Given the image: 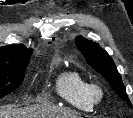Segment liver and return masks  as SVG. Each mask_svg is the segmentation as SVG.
Returning a JSON list of instances; mask_svg holds the SVG:
<instances>
[{"label": "liver", "instance_id": "liver-1", "mask_svg": "<svg viewBox=\"0 0 133 118\" xmlns=\"http://www.w3.org/2000/svg\"><path fill=\"white\" fill-rule=\"evenodd\" d=\"M0 118H81L80 115L70 109L37 104L34 106L15 109L13 106H1Z\"/></svg>", "mask_w": 133, "mask_h": 118}]
</instances>
